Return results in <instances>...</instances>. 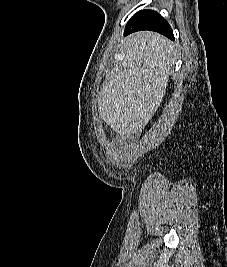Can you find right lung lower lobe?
I'll list each match as a JSON object with an SVG mask.
<instances>
[{
  "mask_svg": "<svg viewBox=\"0 0 227 267\" xmlns=\"http://www.w3.org/2000/svg\"><path fill=\"white\" fill-rule=\"evenodd\" d=\"M140 30L155 31L174 40V35L168 22L160 14L152 10L137 12L127 23L124 34L128 35Z\"/></svg>",
  "mask_w": 227,
  "mask_h": 267,
  "instance_id": "right-lung-lower-lobe-1",
  "label": "right lung lower lobe"
}]
</instances>
